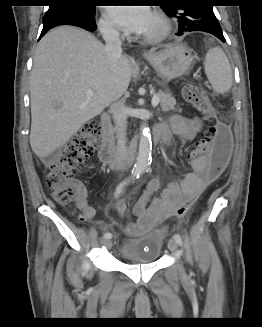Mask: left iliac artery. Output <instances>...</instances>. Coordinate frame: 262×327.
Masks as SVG:
<instances>
[{"instance_id":"1","label":"left iliac artery","mask_w":262,"mask_h":327,"mask_svg":"<svg viewBox=\"0 0 262 327\" xmlns=\"http://www.w3.org/2000/svg\"><path fill=\"white\" fill-rule=\"evenodd\" d=\"M174 240L178 243V244H182V238L179 234H175L174 235Z\"/></svg>"}]
</instances>
